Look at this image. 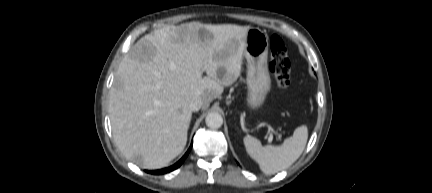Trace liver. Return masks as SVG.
<instances>
[{
  "label": "liver",
  "instance_id": "6515ba94",
  "mask_svg": "<svg viewBox=\"0 0 432 193\" xmlns=\"http://www.w3.org/2000/svg\"><path fill=\"white\" fill-rule=\"evenodd\" d=\"M250 28L170 25L130 48L109 92L113 138L127 159L159 169L184 150L192 98L201 97L205 110L238 79Z\"/></svg>",
  "mask_w": 432,
  "mask_h": 193
}]
</instances>
